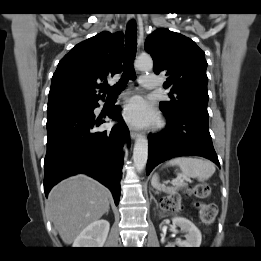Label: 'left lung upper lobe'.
<instances>
[{"label":"left lung upper lobe","mask_w":261,"mask_h":261,"mask_svg":"<svg viewBox=\"0 0 261 261\" xmlns=\"http://www.w3.org/2000/svg\"><path fill=\"white\" fill-rule=\"evenodd\" d=\"M145 50L152 56L154 73L164 72L169 100L160 102L165 114L187 109L209 117L205 53L190 38L166 28L151 33Z\"/></svg>","instance_id":"left-lung-upper-lobe-1"}]
</instances>
